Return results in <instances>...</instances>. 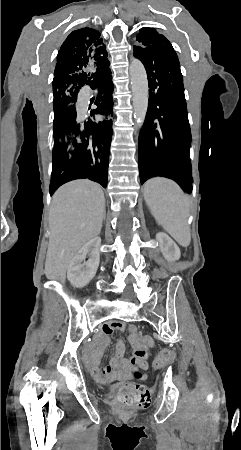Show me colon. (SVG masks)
<instances>
[{
    "label": "colon",
    "mask_w": 241,
    "mask_h": 450,
    "mask_svg": "<svg viewBox=\"0 0 241 450\" xmlns=\"http://www.w3.org/2000/svg\"><path fill=\"white\" fill-rule=\"evenodd\" d=\"M167 348L161 352L160 356L155 360L156 368L161 367L169 360V352ZM136 377H141V372H135ZM116 402L119 406L128 410H144L151 406V398L148 389L143 385H125L121 386L116 394Z\"/></svg>",
    "instance_id": "obj_1"
}]
</instances>
